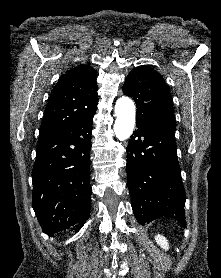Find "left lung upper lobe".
Instances as JSON below:
<instances>
[{
  "mask_svg": "<svg viewBox=\"0 0 221 278\" xmlns=\"http://www.w3.org/2000/svg\"><path fill=\"white\" fill-rule=\"evenodd\" d=\"M137 106L136 119L145 123H174L173 100L163 77L151 67L134 68L122 88Z\"/></svg>",
  "mask_w": 221,
  "mask_h": 278,
  "instance_id": "left-lung-upper-lobe-1",
  "label": "left lung upper lobe"
}]
</instances>
